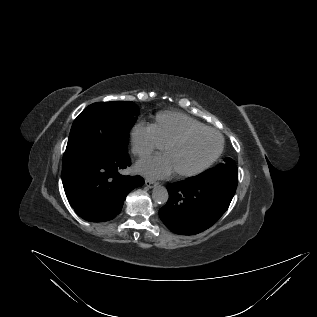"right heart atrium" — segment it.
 Returning a JSON list of instances; mask_svg holds the SVG:
<instances>
[{
	"label": "right heart atrium",
	"mask_w": 317,
	"mask_h": 317,
	"mask_svg": "<svg viewBox=\"0 0 317 317\" xmlns=\"http://www.w3.org/2000/svg\"><path fill=\"white\" fill-rule=\"evenodd\" d=\"M130 140L132 151L138 157H147L163 147L151 126L144 122H137L133 125L130 131Z\"/></svg>",
	"instance_id": "d8ad5b80"
}]
</instances>
